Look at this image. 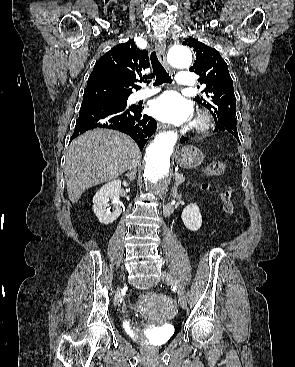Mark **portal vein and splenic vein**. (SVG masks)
Here are the masks:
<instances>
[{"mask_svg":"<svg viewBox=\"0 0 295 367\" xmlns=\"http://www.w3.org/2000/svg\"><path fill=\"white\" fill-rule=\"evenodd\" d=\"M179 175H180L179 173H177V172L175 173V177H176V176H179Z\"/></svg>","mask_w":295,"mask_h":367,"instance_id":"1","label":"portal vein and splenic vein"}]
</instances>
